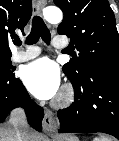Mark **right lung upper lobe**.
I'll return each mask as SVG.
<instances>
[{
  "mask_svg": "<svg viewBox=\"0 0 119 141\" xmlns=\"http://www.w3.org/2000/svg\"><path fill=\"white\" fill-rule=\"evenodd\" d=\"M32 15L31 0H0V57H10L8 43L23 32Z\"/></svg>",
  "mask_w": 119,
  "mask_h": 141,
  "instance_id": "cb5924a9",
  "label": "right lung upper lobe"
}]
</instances>
